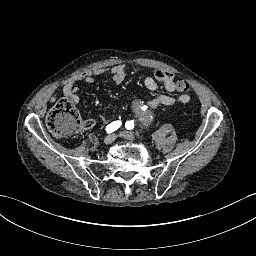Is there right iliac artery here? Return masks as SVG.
<instances>
[{"label": "right iliac artery", "instance_id": "1", "mask_svg": "<svg viewBox=\"0 0 256 256\" xmlns=\"http://www.w3.org/2000/svg\"><path fill=\"white\" fill-rule=\"evenodd\" d=\"M122 125L121 121H114L108 126H106L107 133H112L117 130Z\"/></svg>", "mask_w": 256, "mask_h": 256}]
</instances>
